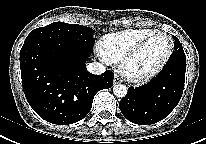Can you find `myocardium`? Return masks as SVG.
Returning <instances> with one entry per match:
<instances>
[{
	"mask_svg": "<svg viewBox=\"0 0 206 144\" xmlns=\"http://www.w3.org/2000/svg\"><path fill=\"white\" fill-rule=\"evenodd\" d=\"M162 35L165 36L170 43L168 53L166 57L163 59V61L154 69L144 72V73H136L133 72L130 68L132 61L138 56V54L143 50V48L146 46V44L155 36ZM174 52V42L172 37L163 32V31H155L145 38H143L141 41H139L120 61V69L123 75L130 81L134 82H142L147 81L156 75H158L168 64L170 61L172 54Z\"/></svg>",
	"mask_w": 206,
	"mask_h": 144,
	"instance_id": "obj_1",
	"label": "myocardium"
}]
</instances>
